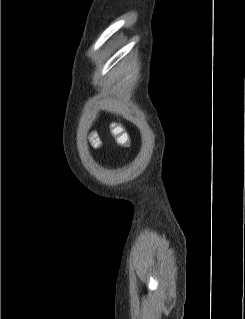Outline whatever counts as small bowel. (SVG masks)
<instances>
[{"label":"small bowel","instance_id":"obj_1","mask_svg":"<svg viewBox=\"0 0 245 319\" xmlns=\"http://www.w3.org/2000/svg\"><path fill=\"white\" fill-rule=\"evenodd\" d=\"M96 146H100V143L98 141H95Z\"/></svg>","mask_w":245,"mask_h":319}]
</instances>
